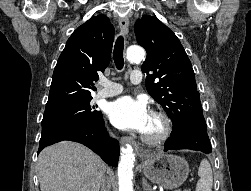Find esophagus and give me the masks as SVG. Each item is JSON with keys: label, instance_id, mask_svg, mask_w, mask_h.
<instances>
[{"label": "esophagus", "instance_id": "34e87169", "mask_svg": "<svg viewBox=\"0 0 251 191\" xmlns=\"http://www.w3.org/2000/svg\"><path fill=\"white\" fill-rule=\"evenodd\" d=\"M119 26L122 35L127 36L128 35V29H129V19L127 17H122L119 20ZM122 145H135V141L132 136H122L120 140Z\"/></svg>", "mask_w": 251, "mask_h": 191}]
</instances>
